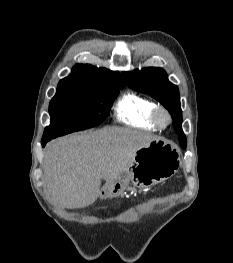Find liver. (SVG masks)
Wrapping results in <instances>:
<instances>
[{"label":"liver","instance_id":"1","mask_svg":"<svg viewBox=\"0 0 233 263\" xmlns=\"http://www.w3.org/2000/svg\"><path fill=\"white\" fill-rule=\"evenodd\" d=\"M155 139L148 132L109 127L48 143L43 171L53 200L68 209L93 204L100 196L101 180H118L136 151Z\"/></svg>","mask_w":233,"mask_h":263}]
</instances>
